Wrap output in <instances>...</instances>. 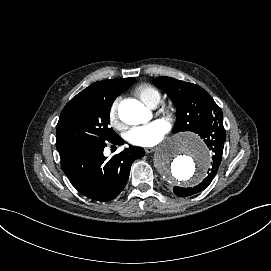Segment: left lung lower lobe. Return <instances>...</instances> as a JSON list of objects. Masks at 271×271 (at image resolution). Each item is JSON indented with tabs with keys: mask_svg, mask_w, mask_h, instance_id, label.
I'll return each instance as SVG.
<instances>
[{
	"mask_svg": "<svg viewBox=\"0 0 271 271\" xmlns=\"http://www.w3.org/2000/svg\"><path fill=\"white\" fill-rule=\"evenodd\" d=\"M199 136L204 139V142L213 154L212 169L208 176L198 186L193 188L174 187L173 191L180 197H186L204 190L213 180L217 169L222 160L223 146L226 140V132L223 126V119L213 125L210 129L199 133Z\"/></svg>",
	"mask_w": 271,
	"mask_h": 271,
	"instance_id": "0a47b994",
	"label": "left lung lower lobe"
}]
</instances>
